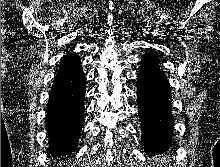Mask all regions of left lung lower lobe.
Returning a JSON list of instances; mask_svg holds the SVG:
<instances>
[{
    "mask_svg": "<svg viewBox=\"0 0 220 167\" xmlns=\"http://www.w3.org/2000/svg\"><path fill=\"white\" fill-rule=\"evenodd\" d=\"M153 53L143 56L137 81V101L142 128V145L148 154L166 151L173 135L169 83Z\"/></svg>",
    "mask_w": 220,
    "mask_h": 167,
    "instance_id": "obj_1",
    "label": "left lung lower lobe"
}]
</instances>
